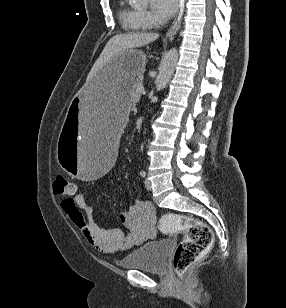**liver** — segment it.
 Instances as JSON below:
<instances>
[{
  "label": "liver",
  "mask_w": 286,
  "mask_h": 308,
  "mask_svg": "<svg viewBox=\"0 0 286 308\" xmlns=\"http://www.w3.org/2000/svg\"><path fill=\"white\" fill-rule=\"evenodd\" d=\"M159 35L156 33L132 32L127 34H118L113 36L104 47L99 58L93 65L87 76L86 82H89L94 75L114 56L122 51L143 47L156 39Z\"/></svg>",
  "instance_id": "6515ba94"
}]
</instances>
